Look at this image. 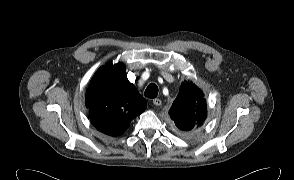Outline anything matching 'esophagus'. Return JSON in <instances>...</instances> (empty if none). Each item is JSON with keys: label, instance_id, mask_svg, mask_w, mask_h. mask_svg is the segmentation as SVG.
I'll return each instance as SVG.
<instances>
[{"label": "esophagus", "instance_id": "esophagus-1", "mask_svg": "<svg viewBox=\"0 0 294 180\" xmlns=\"http://www.w3.org/2000/svg\"><path fill=\"white\" fill-rule=\"evenodd\" d=\"M153 104L155 106H160L162 104V101L158 98L153 99Z\"/></svg>", "mask_w": 294, "mask_h": 180}]
</instances>
